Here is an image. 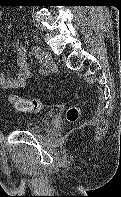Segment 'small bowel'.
Returning a JSON list of instances; mask_svg holds the SVG:
<instances>
[{"label":"small bowel","mask_w":121,"mask_h":197,"mask_svg":"<svg viewBox=\"0 0 121 197\" xmlns=\"http://www.w3.org/2000/svg\"><path fill=\"white\" fill-rule=\"evenodd\" d=\"M1 17L2 11L0 10V18ZM13 47L17 55V75L15 77H9L6 72L0 73V87L3 89H18L24 87L32 74L26 49L18 41H15Z\"/></svg>","instance_id":"small-bowel-1"}]
</instances>
